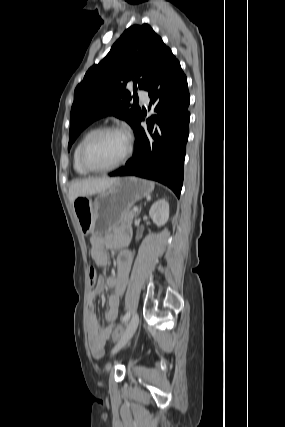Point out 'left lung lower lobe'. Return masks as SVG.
<instances>
[{"mask_svg": "<svg viewBox=\"0 0 285 427\" xmlns=\"http://www.w3.org/2000/svg\"><path fill=\"white\" fill-rule=\"evenodd\" d=\"M155 115L140 126L141 113L135 126V152L124 167L110 176L135 175L158 181L180 197L183 163L188 139L190 102L187 78L179 61L170 52L148 88Z\"/></svg>", "mask_w": 285, "mask_h": 427, "instance_id": "0a47b994", "label": "left lung lower lobe"}]
</instances>
